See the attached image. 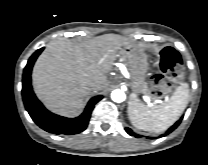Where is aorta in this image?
<instances>
[{
    "label": "aorta",
    "mask_w": 208,
    "mask_h": 165,
    "mask_svg": "<svg viewBox=\"0 0 208 165\" xmlns=\"http://www.w3.org/2000/svg\"><path fill=\"white\" fill-rule=\"evenodd\" d=\"M111 99L116 103H121L126 99V94L120 89H116L111 93Z\"/></svg>",
    "instance_id": "aorta-1"
}]
</instances>
